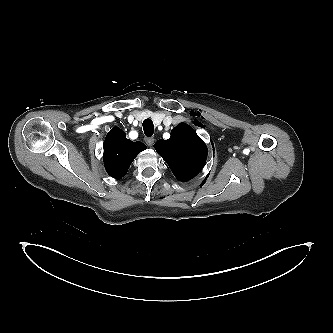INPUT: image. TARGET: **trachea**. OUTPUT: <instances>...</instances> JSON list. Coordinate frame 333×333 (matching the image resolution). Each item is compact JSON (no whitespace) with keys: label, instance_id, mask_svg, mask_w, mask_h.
Wrapping results in <instances>:
<instances>
[{"label":"trachea","instance_id":"obj_1","mask_svg":"<svg viewBox=\"0 0 333 333\" xmlns=\"http://www.w3.org/2000/svg\"><path fill=\"white\" fill-rule=\"evenodd\" d=\"M144 134L147 137H151L154 133V125L151 119H145L143 121Z\"/></svg>","mask_w":333,"mask_h":333}]
</instances>
